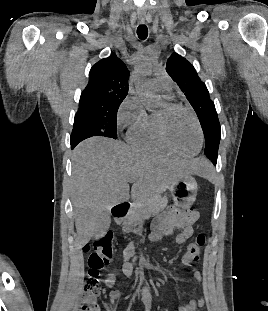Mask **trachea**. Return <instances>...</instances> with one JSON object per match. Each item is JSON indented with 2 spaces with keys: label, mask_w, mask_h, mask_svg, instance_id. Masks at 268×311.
Returning a JSON list of instances; mask_svg holds the SVG:
<instances>
[{
  "label": "trachea",
  "mask_w": 268,
  "mask_h": 311,
  "mask_svg": "<svg viewBox=\"0 0 268 311\" xmlns=\"http://www.w3.org/2000/svg\"><path fill=\"white\" fill-rule=\"evenodd\" d=\"M137 35L141 40H145L148 36V28L146 25L141 24L137 28Z\"/></svg>",
  "instance_id": "trachea-1"
}]
</instances>
